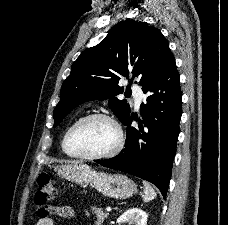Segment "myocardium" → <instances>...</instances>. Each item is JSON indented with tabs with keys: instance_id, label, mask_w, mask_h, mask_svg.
Wrapping results in <instances>:
<instances>
[{
	"instance_id": "obj_1",
	"label": "myocardium",
	"mask_w": 228,
	"mask_h": 225,
	"mask_svg": "<svg viewBox=\"0 0 228 225\" xmlns=\"http://www.w3.org/2000/svg\"><path fill=\"white\" fill-rule=\"evenodd\" d=\"M95 118L102 119V120L108 122L114 128L115 133H116V144L114 145V147L111 148L109 151L102 153V154H98V155H83V154L71 153L68 150V139H69V136L72 133V131L83 121H86L88 119H95ZM62 142H63V150L69 157L83 159V160H101V159L113 157L116 154H118L124 146V137H123V132H122V129H121L119 123L114 118H112L109 115L103 114V113H90V114H86V115L79 117L66 130V132L63 136Z\"/></svg>"
}]
</instances>
